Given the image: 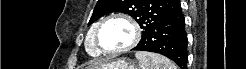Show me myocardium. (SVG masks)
I'll return each mask as SVG.
<instances>
[{"label": "myocardium", "mask_w": 246, "mask_h": 69, "mask_svg": "<svg viewBox=\"0 0 246 69\" xmlns=\"http://www.w3.org/2000/svg\"><path fill=\"white\" fill-rule=\"evenodd\" d=\"M113 19H120L125 21L126 23H128L130 25V27L132 28V32H133V37L131 39V41L125 45L122 48H117V49H107L105 47H103V45L100 42L99 39V33L102 30V28L110 21ZM141 37V29L140 26L138 24V22L132 18L131 16L127 15V14H122V13H115V14H111L107 17H105L96 27L95 32H94V38H95V42L96 44L99 46L100 48V52L103 54H108V55H116V54H120L123 53L125 51H128L130 49H132L134 46L137 45V43L139 42Z\"/></svg>", "instance_id": "myocardium-1"}]
</instances>
